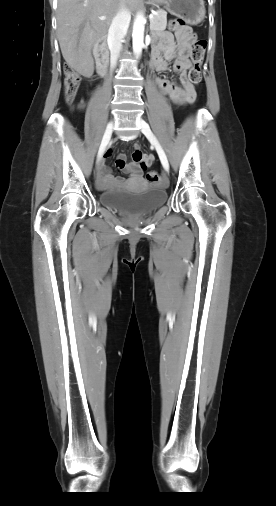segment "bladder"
<instances>
[{
    "label": "bladder",
    "mask_w": 276,
    "mask_h": 506,
    "mask_svg": "<svg viewBox=\"0 0 276 506\" xmlns=\"http://www.w3.org/2000/svg\"><path fill=\"white\" fill-rule=\"evenodd\" d=\"M167 199L165 190L147 187L141 191L116 190L100 194L103 205L135 215L149 214Z\"/></svg>",
    "instance_id": "31cf9c89"
}]
</instances>
